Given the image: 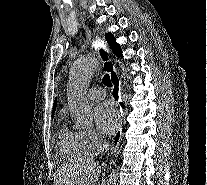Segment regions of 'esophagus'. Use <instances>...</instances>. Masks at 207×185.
I'll list each match as a JSON object with an SVG mask.
<instances>
[{"label": "esophagus", "mask_w": 207, "mask_h": 185, "mask_svg": "<svg viewBox=\"0 0 207 185\" xmlns=\"http://www.w3.org/2000/svg\"><path fill=\"white\" fill-rule=\"evenodd\" d=\"M98 48H105V43H98ZM99 55H101V61H104V72L109 73V77L112 82L111 96L117 105V130L113 137V141L110 147V154L113 155L119 147L121 137L124 136V131H122L121 125L122 115L126 114L127 106H122L121 82L116 68L114 66V62H111L112 56H106L110 55V50H99Z\"/></svg>", "instance_id": "obj_1"}]
</instances>
